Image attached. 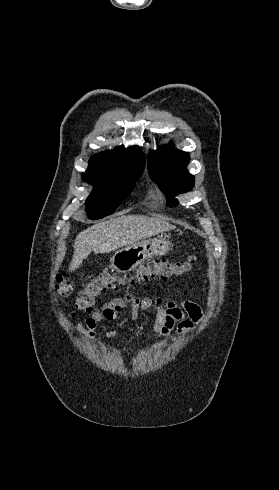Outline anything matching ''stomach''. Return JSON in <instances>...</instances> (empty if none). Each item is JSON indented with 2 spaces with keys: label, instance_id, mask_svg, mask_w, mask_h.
Returning <instances> with one entry per match:
<instances>
[{
  "label": "stomach",
  "instance_id": "1",
  "mask_svg": "<svg viewBox=\"0 0 279 490\" xmlns=\"http://www.w3.org/2000/svg\"><path fill=\"white\" fill-rule=\"evenodd\" d=\"M170 250H172V244L161 236L153 240H143L134 246H128V248L115 252L110 258V266L120 274H128L139 264H144L145 260L155 258V256H166Z\"/></svg>",
  "mask_w": 279,
  "mask_h": 490
}]
</instances>
